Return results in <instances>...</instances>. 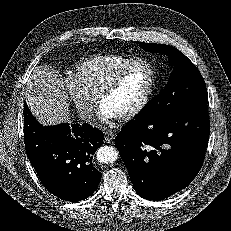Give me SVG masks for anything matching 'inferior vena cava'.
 <instances>
[{"instance_id":"obj_1","label":"inferior vena cava","mask_w":231,"mask_h":231,"mask_svg":"<svg viewBox=\"0 0 231 231\" xmlns=\"http://www.w3.org/2000/svg\"><path fill=\"white\" fill-rule=\"evenodd\" d=\"M79 116L80 118L88 122L94 120L93 110L90 107H85L84 109L80 110Z\"/></svg>"}]
</instances>
